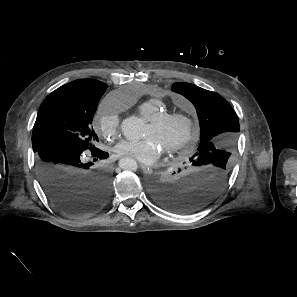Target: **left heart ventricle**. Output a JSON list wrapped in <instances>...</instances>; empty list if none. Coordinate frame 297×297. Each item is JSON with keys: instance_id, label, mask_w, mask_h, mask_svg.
<instances>
[{"instance_id": "1", "label": "left heart ventricle", "mask_w": 297, "mask_h": 297, "mask_svg": "<svg viewBox=\"0 0 297 297\" xmlns=\"http://www.w3.org/2000/svg\"><path fill=\"white\" fill-rule=\"evenodd\" d=\"M186 131V125L183 122H172L165 127L156 129L150 122L145 133V137L155 138L163 149L180 140Z\"/></svg>"}]
</instances>
